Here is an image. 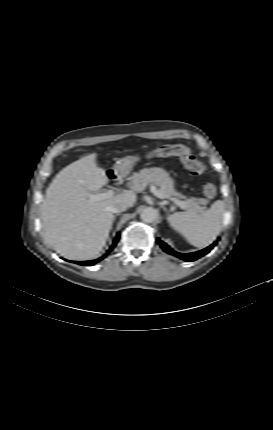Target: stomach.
<instances>
[{"mask_svg":"<svg viewBox=\"0 0 273 430\" xmlns=\"http://www.w3.org/2000/svg\"><path fill=\"white\" fill-rule=\"evenodd\" d=\"M138 157L135 156H127L123 158L119 163H116L114 166V172L124 176L128 174L131 170L132 166L138 161Z\"/></svg>","mask_w":273,"mask_h":430,"instance_id":"stomach-1","label":"stomach"}]
</instances>
